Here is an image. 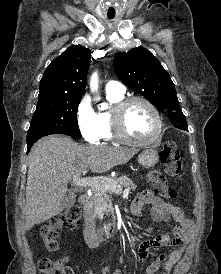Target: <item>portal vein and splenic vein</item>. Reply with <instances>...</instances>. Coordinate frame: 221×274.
<instances>
[{"instance_id": "1", "label": "portal vein and splenic vein", "mask_w": 221, "mask_h": 274, "mask_svg": "<svg viewBox=\"0 0 221 274\" xmlns=\"http://www.w3.org/2000/svg\"><path fill=\"white\" fill-rule=\"evenodd\" d=\"M73 183L79 187H90V188H99L105 187L106 189L112 190L113 192L119 194L122 192L120 186L110 183V179L105 178H81L80 174H76L73 177ZM123 197H128L129 190L125 189L123 192Z\"/></svg>"}]
</instances>
